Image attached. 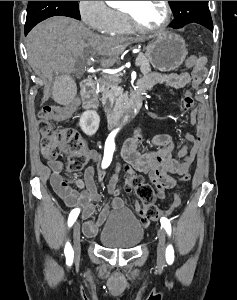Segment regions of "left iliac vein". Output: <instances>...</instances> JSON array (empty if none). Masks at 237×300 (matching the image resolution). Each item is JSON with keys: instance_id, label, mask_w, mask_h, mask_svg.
Returning a JSON list of instances; mask_svg holds the SVG:
<instances>
[{"instance_id": "4c4485c4", "label": "left iliac vein", "mask_w": 237, "mask_h": 300, "mask_svg": "<svg viewBox=\"0 0 237 300\" xmlns=\"http://www.w3.org/2000/svg\"><path fill=\"white\" fill-rule=\"evenodd\" d=\"M158 247H157V263L159 266L165 265V248H166V235L163 229L158 230Z\"/></svg>"}]
</instances>
